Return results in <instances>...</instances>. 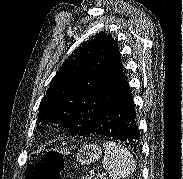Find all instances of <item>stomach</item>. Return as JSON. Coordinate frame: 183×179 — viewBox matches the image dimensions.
<instances>
[{
    "label": "stomach",
    "mask_w": 183,
    "mask_h": 179,
    "mask_svg": "<svg viewBox=\"0 0 183 179\" xmlns=\"http://www.w3.org/2000/svg\"><path fill=\"white\" fill-rule=\"evenodd\" d=\"M101 148L97 144L84 145L76 155L77 161L83 165H88L98 161L101 156Z\"/></svg>",
    "instance_id": "0dacf381"
}]
</instances>
